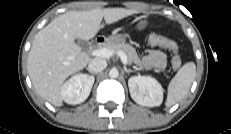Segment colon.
<instances>
[{"instance_id":"colon-1","label":"colon","mask_w":231,"mask_h":134,"mask_svg":"<svg viewBox=\"0 0 231 134\" xmlns=\"http://www.w3.org/2000/svg\"><path fill=\"white\" fill-rule=\"evenodd\" d=\"M147 43L152 47L167 48L172 51V67L174 70H178L181 67V58L178 52L177 43L164 36L151 34L147 37Z\"/></svg>"}]
</instances>
